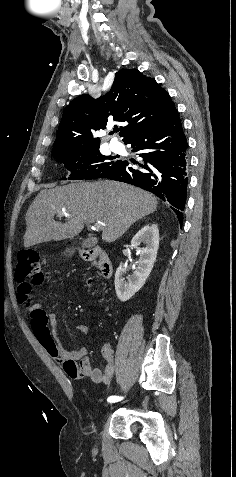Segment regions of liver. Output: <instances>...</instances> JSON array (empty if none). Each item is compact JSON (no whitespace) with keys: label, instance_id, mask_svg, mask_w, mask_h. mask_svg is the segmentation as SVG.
<instances>
[{"label":"liver","instance_id":"1","mask_svg":"<svg viewBox=\"0 0 236 477\" xmlns=\"http://www.w3.org/2000/svg\"><path fill=\"white\" fill-rule=\"evenodd\" d=\"M156 209L155 196L114 181L76 182L44 189L26 213L24 246L74 238L85 223L97 222L103 224L102 240L111 243ZM63 211L71 216L65 223L56 222L54 215Z\"/></svg>","mask_w":236,"mask_h":477}]
</instances>
